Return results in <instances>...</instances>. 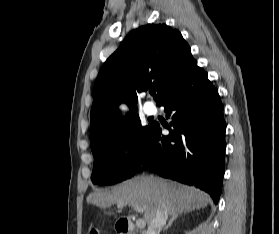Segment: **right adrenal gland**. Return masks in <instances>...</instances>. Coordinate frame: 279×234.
<instances>
[{
    "instance_id": "obj_1",
    "label": "right adrenal gland",
    "mask_w": 279,
    "mask_h": 234,
    "mask_svg": "<svg viewBox=\"0 0 279 234\" xmlns=\"http://www.w3.org/2000/svg\"><path fill=\"white\" fill-rule=\"evenodd\" d=\"M178 218V215H173L170 220L168 221V224L165 225V227L163 228V232H165L171 225L172 223Z\"/></svg>"
}]
</instances>
